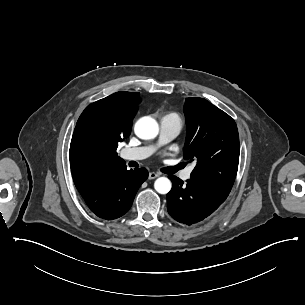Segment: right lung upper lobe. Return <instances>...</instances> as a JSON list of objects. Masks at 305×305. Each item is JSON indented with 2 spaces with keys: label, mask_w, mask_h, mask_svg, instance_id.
<instances>
[{
  "label": "right lung upper lobe",
  "mask_w": 305,
  "mask_h": 305,
  "mask_svg": "<svg viewBox=\"0 0 305 305\" xmlns=\"http://www.w3.org/2000/svg\"><path fill=\"white\" fill-rule=\"evenodd\" d=\"M141 102L137 92H116L90 104L80 115L70 144V166L78 191L109 171L126 167L116 152L130 135Z\"/></svg>",
  "instance_id": "cb5924a9"
}]
</instances>
